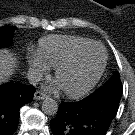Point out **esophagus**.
Returning <instances> with one entry per match:
<instances>
[{
	"mask_svg": "<svg viewBox=\"0 0 135 135\" xmlns=\"http://www.w3.org/2000/svg\"><path fill=\"white\" fill-rule=\"evenodd\" d=\"M45 98H47V95L42 91H36L34 94V99L36 100H43Z\"/></svg>",
	"mask_w": 135,
	"mask_h": 135,
	"instance_id": "obj_1",
	"label": "esophagus"
}]
</instances>
